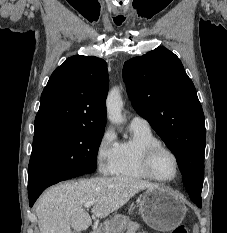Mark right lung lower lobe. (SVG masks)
<instances>
[{"label": "right lung lower lobe", "mask_w": 227, "mask_h": 233, "mask_svg": "<svg viewBox=\"0 0 227 233\" xmlns=\"http://www.w3.org/2000/svg\"><path fill=\"white\" fill-rule=\"evenodd\" d=\"M83 175L82 173H69V174H60L56 176L46 177L39 180L32 186H28V194H29V205L32 207L36 199L40 196V194L49 186L56 184L60 181H64L70 178H74L77 176Z\"/></svg>", "instance_id": "right-lung-lower-lobe-1"}]
</instances>
